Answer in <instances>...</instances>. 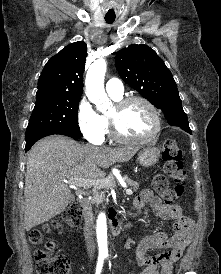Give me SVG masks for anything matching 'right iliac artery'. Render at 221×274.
Here are the masks:
<instances>
[{
  "instance_id": "1",
  "label": "right iliac artery",
  "mask_w": 221,
  "mask_h": 274,
  "mask_svg": "<svg viewBox=\"0 0 221 274\" xmlns=\"http://www.w3.org/2000/svg\"><path fill=\"white\" fill-rule=\"evenodd\" d=\"M103 262H104V256H99L97 261V266H96V274L101 273Z\"/></svg>"
}]
</instances>
